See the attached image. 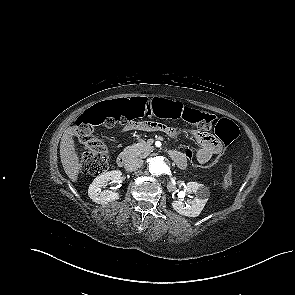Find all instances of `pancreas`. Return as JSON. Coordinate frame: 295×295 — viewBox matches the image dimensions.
Returning a JSON list of instances; mask_svg holds the SVG:
<instances>
[{"mask_svg": "<svg viewBox=\"0 0 295 295\" xmlns=\"http://www.w3.org/2000/svg\"><path fill=\"white\" fill-rule=\"evenodd\" d=\"M154 150L153 146L145 142L144 140H140L138 143H135L131 146H128L124 149V154L129 157H147Z\"/></svg>", "mask_w": 295, "mask_h": 295, "instance_id": "pancreas-1", "label": "pancreas"}]
</instances>
